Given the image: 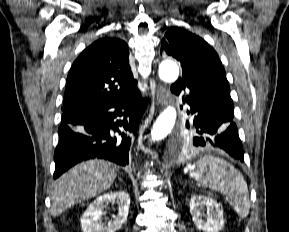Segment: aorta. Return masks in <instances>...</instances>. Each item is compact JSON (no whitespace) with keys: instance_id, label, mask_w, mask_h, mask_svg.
I'll return each mask as SVG.
<instances>
[{"instance_id":"762f6f07","label":"aorta","mask_w":289,"mask_h":232,"mask_svg":"<svg viewBox=\"0 0 289 232\" xmlns=\"http://www.w3.org/2000/svg\"><path fill=\"white\" fill-rule=\"evenodd\" d=\"M159 77L164 82H175L179 76V68L173 61H163L159 65ZM177 113L174 107H167L157 118L151 130V140L159 141L166 137L173 129Z\"/></svg>"}]
</instances>
